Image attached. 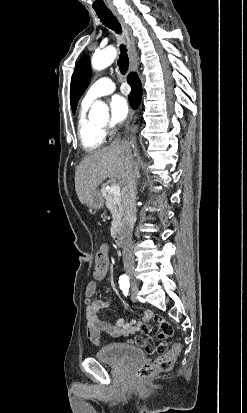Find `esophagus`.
<instances>
[{"label": "esophagus", "instance_id": "obj_1", "mask_svg": "<svg viewBox=\"0 0 247 413\" xmlns=\"http://www.w3.org/2000/svg\"><path fill=\"white\" fill-rule=\"evenodd\" d=\"M112 13L113 15H115L117 20L120 22L124 30V34H125L127 45H128L129 56H130V70H137L138 54L136 50L135 39L132 35V30L118 12H112Z\"/></svg>", "mask_w": 247, "mask_h": 413}]
</instances>
